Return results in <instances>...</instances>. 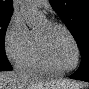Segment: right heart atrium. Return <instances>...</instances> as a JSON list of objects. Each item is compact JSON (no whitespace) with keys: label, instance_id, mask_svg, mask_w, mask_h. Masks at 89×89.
I'll list each match as a JSON object with an SVG mask.
<instances>
[{"label":"right heart atrium","instance_id":"obj_1","mask_svg":"<svg viewBox=\"0 0 89 89\" xmlns=\"http://www.w3.org/2000/svg\"><path fill=\"white\" fill-rule=\"evenodd\" d=\"M32 44V32L19 14H13L4 36V48L7 57L18 64L29 52Z\"/></svg>","mask_w":89,"mask_h":89}]
</instances>
